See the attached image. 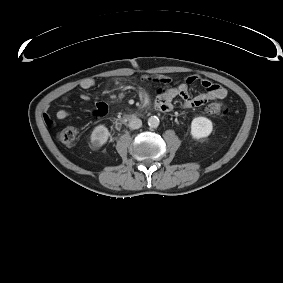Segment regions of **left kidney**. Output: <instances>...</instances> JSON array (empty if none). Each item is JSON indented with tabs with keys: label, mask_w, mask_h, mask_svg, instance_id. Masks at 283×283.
Here are the masks:
<instances>
[{
	"label": "left kidney",
	"mask_w": 283,
	"mask_h": 283,
	"mask_svg": "<svg viewBox=\"0 0 283 283\" xmlns=\"http://www.w3.org/2000/svg\"><path fill=\"white\" fill-rule=\"evenodd\" d=\"M212 130L213 124L206 117H196L191 122V135L194 139L208 137Z\"/></svg>",
	"instance_id": "1"
}]
</instances>
